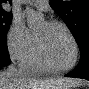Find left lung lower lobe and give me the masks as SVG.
Here are the masks:
<instances>
[{
  "instance_id": "obj_1",
  "label": "left lung lower lobe",
  "mask_w": 89,
  "mask_h": 89,
  "mask_svg": "<svg viewBox=\"0 0 89 89\" xmlns=\"http://www.w3.org/2000/svg\"><path fill=\"white\" fill-rule=\"evenodd\" d=\"M81 57L77 67L66 74V77L83 78L89 80V48L80 51Z\"/></svg>"
}]
</instances>
